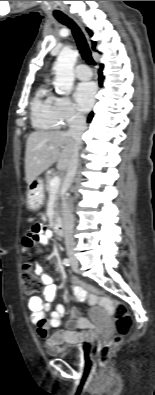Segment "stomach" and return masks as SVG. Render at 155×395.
Listing matches in <instances>:
<instances>
[{
    "mask_svg": "<svg viewBox=\"0 0 155 395\" xmlns=\"http://www.w3.org/2000/svg\"><path fill=\"white\" fill-rule=\"evenodd\" d=\"M27 205L31 210H37L44 201V184L40 178L34 179L27 187Z\"/></svg>",
    "mask_w": 155,
    "mask_h": 395,
    "instance_id": "obj_1",
    "label": "stomach"
}]
</instances>
